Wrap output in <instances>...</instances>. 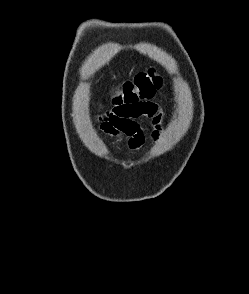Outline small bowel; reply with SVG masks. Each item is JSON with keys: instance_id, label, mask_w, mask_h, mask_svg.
I'll return each mask as SVG.
<instances>
[{"instance_id": "obj_1", "label": "small bowel", "mask_w": 249, "mask_h": 294, "mask_svg": "<svg viewBox=\"0 0 249 294\" xmlns=\"http://www.w3.org/2000/svg\"><path fill=\"white\" fill-rule=\"evenodd\" d=\"M150 119L154 140L163 133V115L157 103L136 102L117 104L100 116V129L114 137H125L130 150H138L144 144V134L140 121Z\"/></svg>"}]
</instances>
